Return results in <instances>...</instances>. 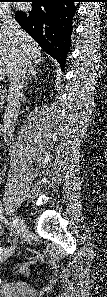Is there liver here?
Wrapping results in <instances>:
<instances>
[{"instance_id":"liver-1","label":"liver","mask_w":107,"mask_h":297,"mask_svg":"<svg viewBox=\"0 0 107 297\" xmlns=\"http://www.w3.org/2000/svg\"><path fill=\"white\" fill-rule=\"evenodd\" d=\"M20 50H24L31 61H40L41 49L27 33L20 29L18 36L12 37L0 30V76L9 75Z\"/></svg>"}]
</instances>
